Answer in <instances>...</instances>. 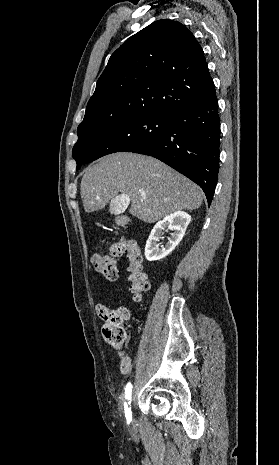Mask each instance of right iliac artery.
Masks as SVG:
<instances>
[{
    "instance_id": "1",
    "label": "right iliac artery",
    "mask_w": 279,
    "mask_h": 465,
    "mask_svg": "<svg viewBox=\"0 0 279 465\" xmlns=\"http://www.w3.org/2000/svg\"><path fill=\"white\" fill-rule=\"evenodd\" d=\"M131 394H132V384L129 382L125 388V398L127 400L125 402V416H126L127 422H130L132 419L131 407L128 406L130 404Z\"/></svg>"
}]
</instances>
